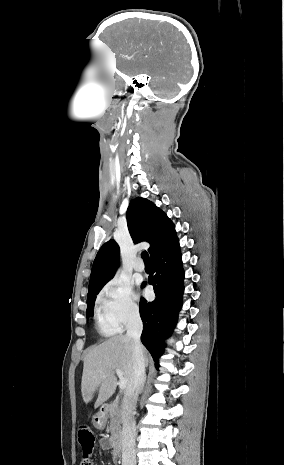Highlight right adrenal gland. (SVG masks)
<instances>
[{"label":"right adrenal gland","mask_w":284,"mask_h":465,"mask_svg":"<svg viewBox=\"0 0 284 465\" xmlns=\"http://www.w3.org/2000/svg\"><path fill=\"white\" fill-rule=\"evenodd\" d=\"M146 381H147V375H144V381H143V385H142V389H141L140 393H142V391H144Z\"/></svg>","instance_id":"right-adrenal-gland-1"}]
</instances>
